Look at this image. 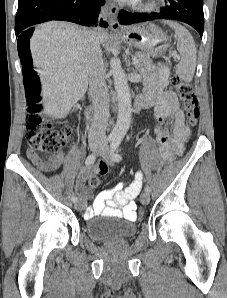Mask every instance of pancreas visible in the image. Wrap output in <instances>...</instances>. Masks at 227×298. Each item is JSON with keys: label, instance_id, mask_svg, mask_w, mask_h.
<instances>
[{"label": "pancreas", "instance_id": "1", "mask_svg": "<svg viewBox=\"0 0 227 298\" xmlns=\"http://www.w3.org/2000/svg\"><path fill=\"white\" fill-rule=\"evenodd\" d=\"M134 57L138 59V63L135 65V68L141 75L157 70V67L148 55L138 52L134 55Z\"/></svg>", "mask_w": 227, "mask_h": 298}]
</instances>
